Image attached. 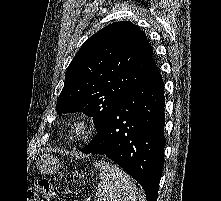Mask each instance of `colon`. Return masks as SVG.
<instances>
[{"label": "colon", "instance_id": "5ec220e1", "mask_svg": "<svg viewBox=\"0 0 221 201\" xmlns=\"http://www.w3.org/2000/svg\"><path fill=\"white\" fill-rule=\"evenodd\" d=\"M58 190L48 179L39 180L36 186L27 190L26 201H56Z\"/></svg>", "mask_w": 221, "mask_h": 201}]
</instances>
